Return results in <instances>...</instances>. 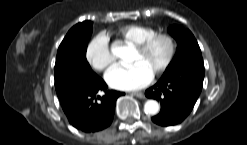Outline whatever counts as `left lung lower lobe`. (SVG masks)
Listing matches in <instances>:
<instances>
[{
	"mask_svg": "<svg viewBox=\"0 0 247 145\" xmlns=\"http://www.w3.org/2000/svg\"><path fill=\"white\" fill-rule=\"evenodd\" d=\"M204 66L186 65L164 73L146 90L148 98L161 102L160 113L152 121L162 126L181 123L193 109L202 90Z\"/></svg>",
	"mask_w": 247,
	"mask_h": 145,
	"instance_id": "left-lung-lower-lobe-1",
	"label": "left lung lower lobe"
}]
</instances>
